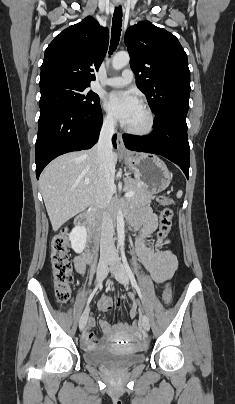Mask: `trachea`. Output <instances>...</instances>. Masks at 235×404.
Returning <instances> with one entry per match:
<instances>
[{
	"label": "trachea",
	"mask_w": 235,
	"mask_h": 404,
	"mask_svg": "<svg viewBox=\"0 0 235 404\" xmlns=\"http://www.w3.org/2000/svg\"><path fill=\"white\" fill-rule=\"evenodd\" d=\"M121 27H122V8L121 6L116 7L113 20H112V30H111V45L109 54H112L113 51L117 48L120 35H121Z\"/></svg>",
	"instance_id": "obj_1"
}]
</instances>
